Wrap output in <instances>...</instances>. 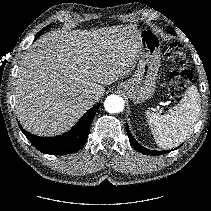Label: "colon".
Instances as JSON below:
<instances>
[{
    "mask_svg": "<svg viewBox=\"0 0 211 211\" xmlns=\"http://www.w3.org/2000/svg\"><path fill=\"white\" fill-rule=\"evenodd\" d=\"M165 62L171 69L165 76V84L172 96L180 97L188 87L192 75L183 67L186 64V57L183 48L178 43H173L169 46Z\"/></svg>",
    "mask_w": 211,
    "mask_h": 211,
    "instance_id": "5ec220e1",
    "label": "colon"
}]
</instances>
